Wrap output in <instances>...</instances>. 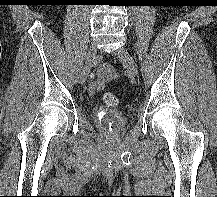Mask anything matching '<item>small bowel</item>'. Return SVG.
I'll use <instances>...</instances> for the list:
<instances>
[{
  "instance_id": "obj_1",
  "label": "small bowel",
  "mask_w": 217,
  "mask_h": 197,
  "mask_svg": "<svg viewBox=\"0 0 217 197\" xmlns=\"http://www.w3.org/2000/svg\"><path fill=\"white\" fill-rule=\"evenodd\" d=\"M116 78L114 69L107 64H102L99 67L98 78L89 87L90 94L103 90L108 82L114 81Z\"/></svg>"
}]
</instances>
